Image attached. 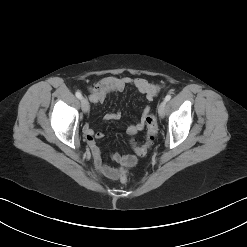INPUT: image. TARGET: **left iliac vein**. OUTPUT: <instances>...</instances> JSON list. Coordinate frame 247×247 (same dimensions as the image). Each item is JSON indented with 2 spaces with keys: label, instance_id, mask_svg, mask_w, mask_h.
Returning <instances> with one entry per match:
<instances>
[{
  "label": "left iliac vein",
  "instance_id": "obj_1",
  "mask_svg": "<svg viewBox=\"0 0 247 247\" xmlns=\"http://www.w3.org/2000/svg\"><path fill=\"white\" fill-rule=\"evenodd\" d=\"M166 111V101H162L158 107V113L160 117H164Z\"/></svg>",
  "mask_w": 247,
  "mask_h": 247
}]
</instances>
